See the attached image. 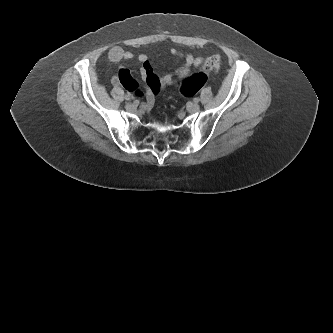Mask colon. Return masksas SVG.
Wrapping results in <instances>:
<instances>
[{
	"instance_id": "1",
	"label": "colon",
	"mask_w": 333,
	"mask_h": 333,
	"mask_svg": "<svg viewBox=\"0 0 333 333\" xmlns=\"http://www.w3.org/2000/svg\"><path fill=\"white\" fill-rule=\"evenodd\" d=\"M221 65L219 56H212L206 59L204 63V71L198 72L181 83L180 91L184 96H192L196 94L207 81V72L218 70Z\"/></svg>"
}]
</instances>
